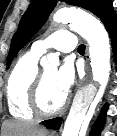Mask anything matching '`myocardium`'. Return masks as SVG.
<instances>
[{"instance_id": "myocardium-1", "label": "myocardium", "mask_w": 117, "mask_h": 136, "mask_svg": "<svg viewBox=\"0 0 117 136\" xmlns=\"http://www.w3.org/2000/svg\"><path fill=\"white\" fill-rule=\"evenodd\" d=\"M44 74L39 72L30 92V108L35 115L40 117H51L63 112L68 104V96L65 95L61 105L54 110H46L41 104V90L43 87Z\"/></svg>"}]
</instances>
